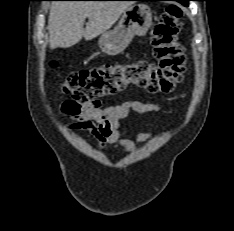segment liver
I'll list each match as a JSON object with an SVG mask.
<instances>
[{"instance_id":"obj_1","label":"liver","mask_w":234,"mask_h":231,"mask_svg":"<svg viewBox=\"0 0 234 231\" xmlns=\"http://www.w3.org/2000/svg\"><path fill=\"white\" fill-rule=\"evenodd\" d=\"M131 1H56L48 18L49 47L69 48L82 37L92 40L110 29ZM88 18L86 28H83Z\"/></svg>"}]
</instances>
